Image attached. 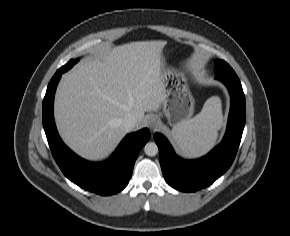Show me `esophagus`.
Returning <instances> with one entry per match:
<instances>
[{
    "instance_id": "obj_1",
    "label": "esophagus",
    "mask_w": 290,
    "mask_h": 236,
    "mask_svg": "<svg viewBox=\"0 0 290 236\" xmlns=\"http://www.w3.org/2000/svg\"><path fill=\"white\" fill-rule=\"evenodd\" d=\"M146 123L151 130L155 131L159 126V118L155 115H151L146 119Z\"/></svg>"
}]
</instances>
